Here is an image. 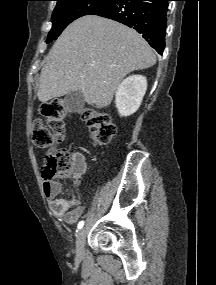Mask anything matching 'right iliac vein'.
<instances>
[{
	"label": "right iliac vein",
	"mask_w": 216,
	"mask_h": 285,
	"mask_svg": "<svg viewBox=\"0 0 216 285\" xmlns=\"http://www.w3.org/2000/svg\"><path fill=\"white\" fill-rule=\"evenodd\" d=\"M84 244H85V229L81 228L78 231L77 237H76V254L78 256H82L84 253Z\"/></svg>",
	"instance_id": "right-iliac-vein-1"
}]
</instances>
